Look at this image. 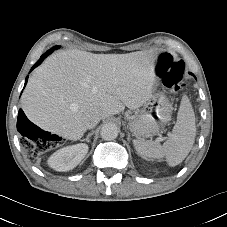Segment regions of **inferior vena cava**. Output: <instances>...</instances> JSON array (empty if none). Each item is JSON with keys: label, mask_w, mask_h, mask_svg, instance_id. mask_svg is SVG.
Returning a JSON list of instances; mask_svg holds the SVG:
<instances>
[{"label": "inferior vena cava", "mask_w": 227, "mask_h": 227, "mask_svg": "<svg viewBox=\"0 0 227 227\" xmlns=\"http://www.w3.org/2000/svg\"><path fill=\"white\" fill-rule=\"evenodd\" d=\"M101 120L99 113H91L86 116L85 125L88 129L94 128Z\"/></svg>", "instance_id": "1"}]
</instances>
